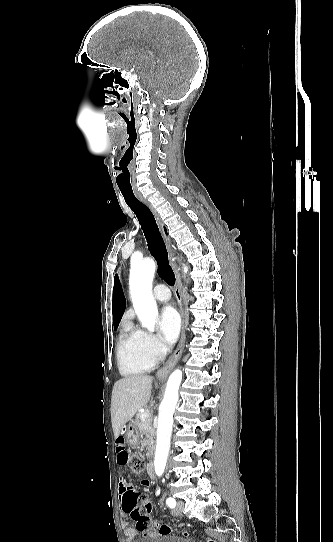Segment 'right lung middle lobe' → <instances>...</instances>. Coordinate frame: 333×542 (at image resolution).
<instances>
[{
    "label": "right lung middle lobe",
    "mask_w": 333,
    "mask_h": 542,
    "mask_svg": "<svg viewBox=\"0 0 333 542\" xmlns=\"http://www.w3.org/2000/svg\"><path fill=\"white\" fill-rule=\"evenodd\" d=\"M117 327H118V326H114V330H116V329H117Z\"/></svg>",
    "instance_id": "obj_1"
}]
</instances>
